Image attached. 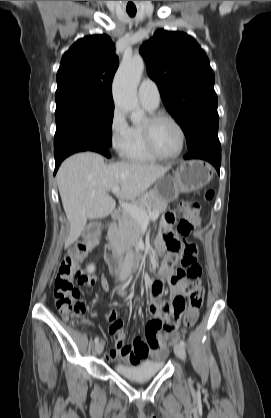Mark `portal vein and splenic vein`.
Instances as JSON below:
<instances>
[{"mask_svg": "<svg viewBox=\"0 0 271 418\" xmlns=\"http://www.w3.org/2000/svg\"><path fill=\"white\" fill-rule=\"evenodd\" d=\"M111 191L112 193L117 194L120 191V187H113ZM120 206L122 209L130 213L140 223L147 224L151 219H157L159 217V213L157 211L148 214L145 210L134 204L121 203Z\"/></svg>", "mask_w": 271, "mask_h": 418, "instance_id": "18ae733b", "label": "portal vein and splenic vein"}]
</instances>
